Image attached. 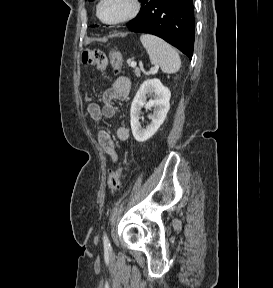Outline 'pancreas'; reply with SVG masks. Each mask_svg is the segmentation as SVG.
<instances>
[{"label":"pancreas","mask_w":273,"mask_h":288,"mask_svg":"<svg viewBox=\"0 0 273 288\" xmlns=\"http://www.w3.org/2000/svg\"><path fill=\"white\" fill-rule=\"evenodd\" d=\"M134 73H135L136 75H139V74H140V70H139V69H135V70H134Z\"/></svg>","instance_id":"1"}]
</instances>
